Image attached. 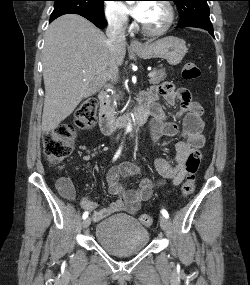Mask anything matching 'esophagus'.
<instances>
[{
	"label": "esophagus",
	"instance_id": "esophagus-1",
	"mask_svg": "<svg viewBox=\"0 0 250 285\" xmlns=\"http://www.w3.org/2000/svg\"><path fill=\"white\" fill-rule=\"evenodd\" d=\"M130 47L134 50H139L143 48V45L138 40H132L130 43Z\"/></svg>",
	"mask_w": 250,
	"mask_h": 285
}]
</instances>
